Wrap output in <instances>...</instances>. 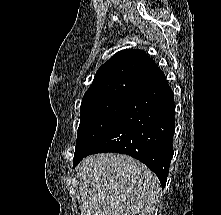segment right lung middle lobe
I'll return each instance as SVG.
<instances>
[{
	"mask_svg": "<svg viewBox=\"0 0 221 215\" xmlns=\"http://www.w3.org/2000/svg\"><path fill=\"white\" fill-rule=\"evenodd\" d=\"M132 99L105 98L81 104L74 159L86 155Z\"/></svg>",
	"mask_w": 221,
	"mask_h": 215,
	"instance_id": "dd1d6c3e",
	"label": "right lung middle lobe"
}]
</instances>
